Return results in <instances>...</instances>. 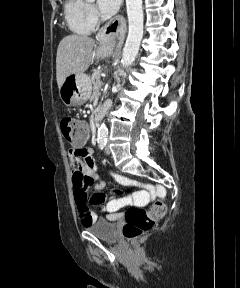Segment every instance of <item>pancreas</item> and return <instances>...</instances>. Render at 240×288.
<instances>
[{
  "mask_svg": "<svg viewBox=\"0 0 240 288\" xmlns=\"http://www.w3.org/2000/svg\"><path fill=\"white\" fill-rule=\"evenodd\" d=\"M101 75H102V72L100 70H95L92 73L91 80H92V84H93V90L95 92H97L99 90V79H100Z\"/></svg>",
  "mask_w": 240,
  "mask_h": 288,
  "instance_id": "cf45deb5",
  "label": "pancreas"
}]
</instances>
